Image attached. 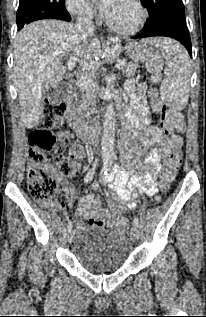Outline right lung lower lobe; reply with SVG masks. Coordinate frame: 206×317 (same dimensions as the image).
<instances>
[{
	"mask_svg": "<svg viewBox=\"0 0 206 317\" xmlns=\"http://www.w3.org/2000/svg\"><path fill=\"white\" fill-rule=\"evenodd\" d=\"M59 19H61V20H66V21H70V15H69V13H68L66 16L61 17V18H59ZM18 30H20V29H18Z\"/></svg>",
	"mask_w": 206,
	"mask_h": 317,
	"instance_id": "right-lung-lower-lobe-1",
	"label": "right lung lower lobe"
}]
</instances>
